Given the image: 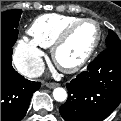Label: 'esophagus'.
Returning a JSON list of instances; mask_svg holds the SVG:
<instances>
[{"label":"esophagus","instance_id":"esophagus-1","mask_svg":"<svg viewBox=\"0 0 121 121\" xmlns=\"http://www.w3.org/2000/svg\"><path fill=\"white\" fill-rule=\"evenodd\" d=\"M45 85H46V87H48V88H55V87L59 86L58 83H46Z\"/></svg>","mask_w":121,"mask_h":121}]
</instances>
